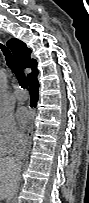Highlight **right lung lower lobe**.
<instances>
[{"instance_id":"98d812e1","label":"right lung lower lobe","mask_w":89,"mask_h":203,"mask_svg":"<svg viewBox=\"0 0 89 203\" xmlns=\"http://www.w3.org/2000/svg\"><path fill=\"white\" fill-rule=\"evenodd\" d=\"M29 86H30V96H31V107H35L37 100H38V87L39 83L37 81V75H35L33 78L29 80Z\"/></svg>"}]
</instances>
